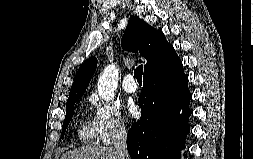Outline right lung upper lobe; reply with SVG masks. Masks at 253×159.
<instances>
[{
	"label": "right lung upper lobe",
	"mask_w": 253,
	"mask_h": 159,
	"mask_svg": "<svg viewBox=\"0 0 253 159\" xmlns=\"http://www.w3.org/2000/svg\"><path fill=\"white\" fill-rule=\"evenodd\" d=\"M123 49L138 52L147 60L144 76L166 73L181 63L172 45L168 44L164 34L133 16L130 18L122 37ZM97 59L91 57L78 69L69 93L70 101L81 98L93 76Z\"/></svg>",
	"instance_id": "1"
}]
</instances>
